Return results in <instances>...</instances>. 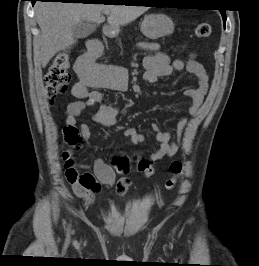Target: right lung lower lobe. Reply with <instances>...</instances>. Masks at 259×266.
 I'll return each mask as SVG.
<instances>
[{
  "label": "right lung lower lobe",
  "instance_id": "obj_1",
  "mask_svg": "<svg viewBox=\"0 0 259 266\" xmlns=\"http://www.w3.org/2000/svg\"><path fill=\"white\" fill-rule=\"evenodd\" d=\"M30 1H32V5H34V3H35L36 1H42V2H44V1H54V2H62V3H65V2L73 1V0H30ZM82 1H84V2H83L84 4H86L87 2H89V1H87V0H82Z\"/></svg>",
  "mask_w": 259,
  "mask_h": 266
}]
</instances>
